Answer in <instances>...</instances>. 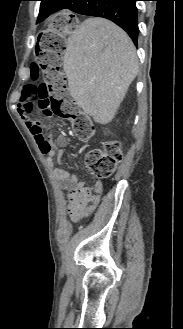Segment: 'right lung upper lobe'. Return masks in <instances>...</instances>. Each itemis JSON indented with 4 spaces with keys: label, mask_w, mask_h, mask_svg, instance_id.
<instances>
[{
    "label": "right lung upper lobe",
    "mask_w": 183,
    "mask_h": 329,
    "mask_svg": "<svg viewBox=\"0 0 183 329\" xmlns=\"http://www.w3.org/2000/svg\"><path fill=\"white\" fill-rule=\"evenodd\" d=\"M64 1L68 0H41L38 22H42L56 11L68 8Z\"/></svg>",
    "instance_id": "1"
}]
</instances>
